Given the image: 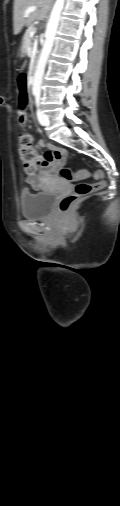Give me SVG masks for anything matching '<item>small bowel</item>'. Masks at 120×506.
<instances>
[{
	"instance_id": "c3829d8e",
	"label": "small bowel",
	"mask_w": 120,
	"mask_h": 506,
	"mask_svg": "<svg viewBox=\"0 0 120 506\" xmlns=\"http://www.w3.org/2000/svg\"><path fill=\"white\" fill-rule=\"evenodd\" d=\"M39 146L47 148V152L39 156V171L30 174L26 181L34 189H41L48 181L58 178L59 169L64 164L68 151L39 142ZM50 157V158H49Z\"/></svg>"
}]
</instances>
